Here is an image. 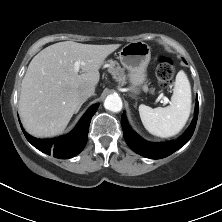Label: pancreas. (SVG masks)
<instances>
[{
    "instance_id": "pancreas-1",
    "label": "pancreas",
    "mask_w": 222,
    "mask_h": 222,
    "mask_svg": "<svg viewBox=\"0 0 222 222\" xmlns=\"http://www.w3.org/2000/svg\"><path fill=\"white\" fill-rule=\"evenodd\" d=\"M109 73L113 75V78L119 82V84L124 85L126 83V76L124 74L123 69L120 66H116L114 61H109ZM144 90L147 91V86H144Z\"/></svg>"
}]
</instances>
